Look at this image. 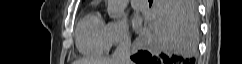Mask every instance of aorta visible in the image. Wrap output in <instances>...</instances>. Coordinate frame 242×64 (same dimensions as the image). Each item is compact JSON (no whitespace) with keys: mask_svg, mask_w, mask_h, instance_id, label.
I'll list each match as a JSON object with an SVG mask.
<instances>
[{"mask_svg":"<svg viewBox=\"0 0 242 64\" xmlns=\"http://www.w3.org/2000/svg\"><path fill=\"white\" fill-rule=\"evenodd\" d=\"M128 0H108L107 13L111 19H119L126 7Z\"/></svg>","mask_w":242,"mask_h":64,"instance_id":"762f6f07","label":"aorta"}]
</instances>
